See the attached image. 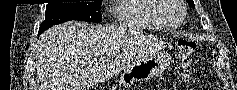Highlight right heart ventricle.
I'll return each mask as SVG.
<instances>
[{
	"instance_id": "1",
	"label": "right heart ventricle",
	"mask_w": 237,
	"mask_h": 90,
	"mask_svg": "<svg viewBox=\"0 0 237 90\" xmlns=\"http://www.w3.org/2000/svg\"><path fill=\"white\" fill-rule=\"evenodd\" d=\"M118 7H111L115 20H111L116 28L136 29H165L163 25L154 20L152 16L163 14L162 7H168L169 2L158 0H119ZM157 10V14H153Z\"/></svg>"
}]
</instances>
